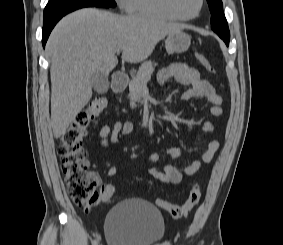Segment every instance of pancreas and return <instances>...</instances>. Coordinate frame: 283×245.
Returning a JSON list of instances; mask_svg holds the SVG:
<instances>
[{
    "mask_svg": "<svg viewBox=\"0 0 283 245\" xmlns=\"http://www.w3.org/2000/svg\"><path fill=\"white\" fill-rule=\"evenodd\" d=\"M156 65L157 64L152 61H146L140 66L137 74L132 77V80L129 83L131 108H135L136 103L140 101L142 91L146 87L147 82L151 79V75L154 72Z\"/></svg>",
    "mask_w": 283,
    "mask_h": 245,
    "instance_id": "1",
    "label": "pancreas"
}]
</instances>
